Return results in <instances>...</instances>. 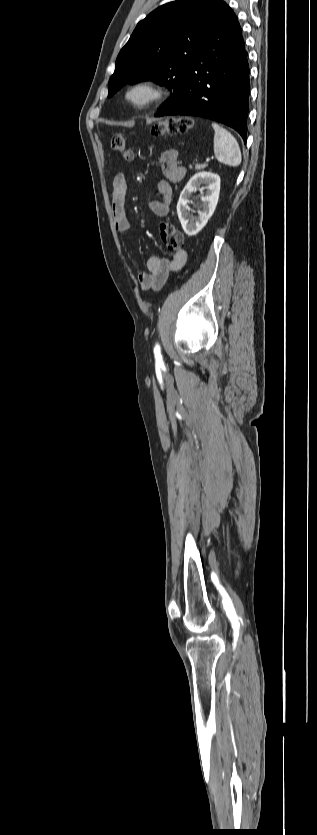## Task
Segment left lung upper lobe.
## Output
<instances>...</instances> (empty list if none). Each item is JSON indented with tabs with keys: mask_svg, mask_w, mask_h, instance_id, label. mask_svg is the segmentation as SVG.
Returning a JSON list of instances; mask_svg holds the SVG:
<instances>
[{
	"mask_svg": "<svg viewBox=\"0 0 317 835\" xmlns=\"http://www.w3.org/2000/svg\"><path fill=\"white\" fill-rule=\"evenodd\" d=\"M228 8L221 0H179L151 12L121 49L108 97L128 83L156 80L172 91L162 106L175 101L190 65Z\"/></svg>",
	"mask_w": 317,
	"mask_h": 835,
	"instance_id": "obj_1",
	"label": "left lung upper lobe"
}]
</instances>
